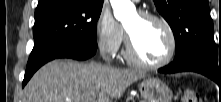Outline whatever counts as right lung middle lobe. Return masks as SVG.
<instances>
[{"label":"right lung middle lobe","instance_id":"right-lung-middle-lobe-1","mask_svg":"<svg viewBox=\"0 0 221 102\" xmlns=\"http://www.w3.org/2000/svg\"><path fill=\"white\" fill-rule=\"evenodd\" d=\"M102 3L85 0H50L38 5L33 29L34 47L28 62L66 43L97 48L96 22Z\"/></svg>","mask_w":221,"mask_h":102}]
</instances>
